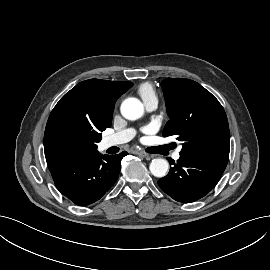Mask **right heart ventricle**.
Returning <instances> with one entry per match:
<instances>
[{
	"mask_svg": "<svg viewBox=\"0 0 270 270\" xmlns=\"http://www.w3.org/2000/svg\"><path fill=\"white\" fill-rule=\"evenodd\" d=\"M138 93L144 102L153 97L157 98L156 91L150 83H142L141 85H139Z\"/></svg>",
	"mask_w": 270,
	"mask_h": 270,
	"instance_id": "obj_1",
	"label": "right heart ventricle"
}]
</instances>
